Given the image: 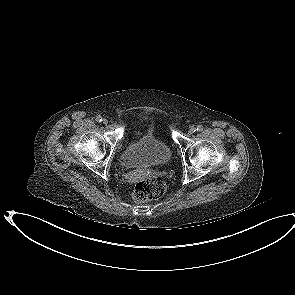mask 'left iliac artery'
<instances>
[{"label":"left iliac artery","mask_w":295,"mask_h":295,"mask_svg":"<svg viewBox=\"0 0 295 295\" xmlns=\"http://www.w3.org/2000/svg\"><path fill=\"white\" fill-rule=\"evenodd\" d=\"M196 130L197 131H202L203 130V126L202 125H198Z\"/></svg>","instance_id":"1"}]
</instances>
